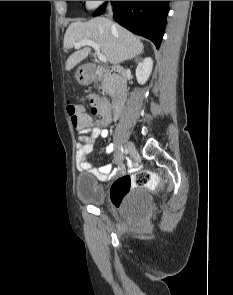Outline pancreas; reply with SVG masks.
Here are the masks:
<instances>
[{"mask_svg": "<svg viewBox=\"0 0 233 295\" xmlns=\"http://www.w3.org/2000/svg\"><path fill=\"white\" fill-rule=\"evenodd\" d=\"M104 92L113 96L115 93V80L112 77L105 76L101 79V86L99 87Z\"/></svg>", "mask_w": 233, "mask_h": 295, "instance_id": "1", "label": "pancreas"}]
</instances>
